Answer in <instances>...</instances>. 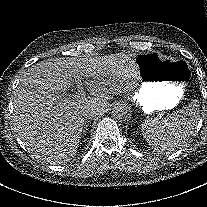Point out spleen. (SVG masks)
Segmentation results:
<instances>
[{
    "instance_id": "1",
    "label": "spleen",
    "mask_w": 207,
    "mask_h": 207,
    "mask_svg": "<svg viewBox=\"0 0 207 207\" xmlns=\"http://www.w3.org/2000/svg\"><path fill=\"white\" fill-rule=\"evenodd\" d=\"M200 115V108L191 105L166 118L144 122L141 131L151 145L160 146L162 149L170 146L174 150L179 143L192 135Z\"/></svg>"
}]
</instances>
